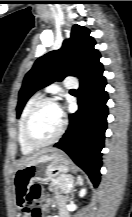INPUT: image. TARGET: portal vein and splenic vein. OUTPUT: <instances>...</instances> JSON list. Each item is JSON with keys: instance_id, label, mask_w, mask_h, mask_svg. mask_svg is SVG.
<instances>
[{"instance_id": "18ae733b", "label": "portal vein and splenic vein", "mask_w": 132, "mask_h": 217, "mask_svg": "<svg viewBox=\"0 0 132 217\" xmlns=\"http://www.w3.org/2000/svg\"><path fill=\"white\" fill-rule=\"evenodd\" d=\"M68 187H72V183L68 184Z\"/></svg>"}]
</instances>
